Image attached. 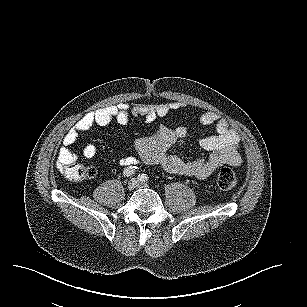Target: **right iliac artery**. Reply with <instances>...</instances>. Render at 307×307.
<instances>
[{
	"instance_id": "82829eb1",
	"label": "right iliac artery",
	"mask_w": 307,
	"mask_h": 307,
	"mask_svg": "<svg viewBox=\"0 0 307 307\" xmlns=\"http://www.w3.org/2000/svg\"><path fill=\"white\" fill-rule=\"evenodd\" d=\"M136 169H137V167H135V166H133V167L130 166V167L125 168L124 171H123V176L129 177V176L133 175L135 173Z\"/></svg>"
}]
</instances>
